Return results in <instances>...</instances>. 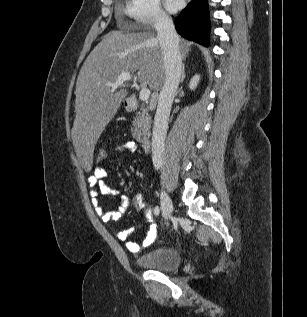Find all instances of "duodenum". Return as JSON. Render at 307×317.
I'll use <instances>...</instances> for the list:
<instances>
[{"label": "duodenum", "instance_id": "1", "mask_svg": "<svg viewBox=\"0 0 307 317\" xmlns=\"http://www.w3.org/2000/svg\"><path fill=\"white\" fill-rule=\"evenodd\" d=\"M127 107L130 111L135 112L139 109V102L136 98L130 97L127 100ZM152 136L148 130L143 131L141 137V143L144 151H149L151 147Z\"/></svg>", "mask_w": 307, "mask_h": 317}]
</instances>
